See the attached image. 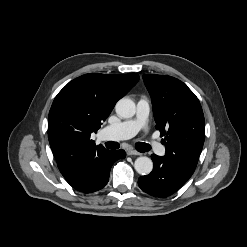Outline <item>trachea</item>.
<instances>
[{
	"label": "trachea",
	"instance_id": "trachea-1",
	"mask_svg": "<svg viewBox=\"0 0 247 247\" xmlns=\"http://www.w3.org/2000/svg\"><path fill=\"white\" fill-rule=\"evenodd\" d=\"M106 148L108 149H118L119 148V143L117 142H106ZM136 149L139 152H147L150 150V145L146 143H137L136 144Z\"/></svg>",
	"mask_w": 247,
	"mask_h": 247
}]
</instances>
